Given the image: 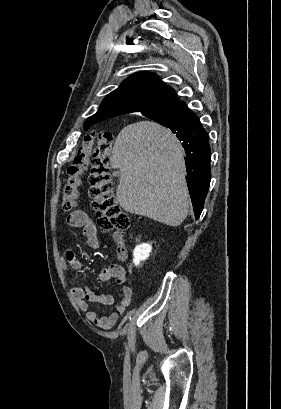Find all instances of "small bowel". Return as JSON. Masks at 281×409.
Instances as JSON below:
<instances>
[{"instance_id":"1","label":"small bowel","mask_w":281,"mask_h":409,"mask_svg":"<svg viewBox=\"0 0 281 409\" xmlns=\"http://www.w3.org/2000/svg\"><path fill=\"white\" fill-rule=\"evenodd\" d=\"M67 224L73 228H82L89 248L93 250L100 248V239L95 225L85 211L78 209L71 212L67 217ZM63 265L64 268L71 267L77 271L83 269V263L75 257L74 252L70 249L65 252ZM98 279L103 282L114 279L120 286L117 297L110 294L96 293L86 286H74L71 292L80 309L87 312V318L97 327L108 330L126 312L131 302L132 289L126 284L127 272L125 268L119 264H111L103 268L98 274ZM116 299L115 309L109 315H99L97 312L89 309L91 303L110 306L115 303Z\"/></svg>"}]
</instances>
